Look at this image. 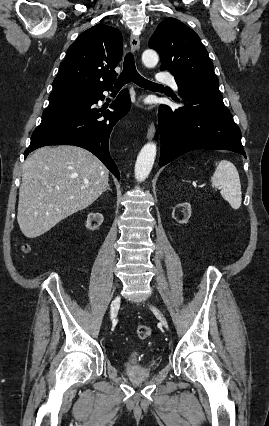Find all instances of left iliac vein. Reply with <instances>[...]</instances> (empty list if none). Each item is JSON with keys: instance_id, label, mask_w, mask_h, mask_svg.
<instances>
[{"instance_id": "obj_1", "label": "left iliac vein", "mask_w": 269, "mask_h": 426, "mask_svg": "<svg viewBox=\"0 0 269 426\" xmlns=\"http://www.w3.org/2000/svg\"><path fill=\"white\" fill-rule=\"evenodd\" d=\"M153 308V310L155 311V313H156V315H157V317H158V319L160 320V322L162 323V325L166 328V329H168V323H167V320H166V318H165V316L161 313V311H159L158 309H156V308H154V307H152Z\"/></svg>"}]
</instances>
